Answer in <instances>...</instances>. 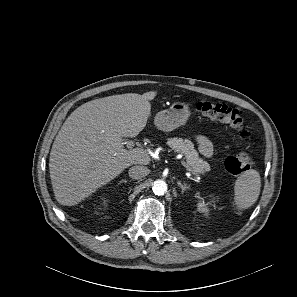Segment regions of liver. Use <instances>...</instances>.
Here are the masks:
<instances>
[{
  "mask_svg": "<svg viewBox=\"0 0 297 297\" xmlns=\"http://www.w3.org/2000/svg\"><path fill=\"white\" fill-rule=\"evenodd\" d=\"M156 91L126 93L89 101L66 119L49 158L56 200L73 206L117 177L131 165H147L142 148L126 150L123 137H135L151 115Z\"/></svg>",
  "mask_w": 297,
  "mask_h": 297,
  "instance_id": "1",
  "label": "liver"
}]
</instances>
